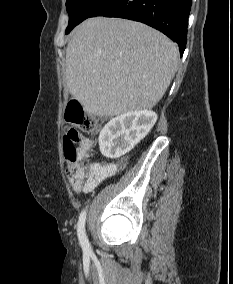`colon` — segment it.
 <instances>
[{
  "label": "colon",
  "mask_w": 233,
  "mask_h": 284,
  "mask_svg": "<svg viewBox=\"0 0 233 284\" xmlns=\"http://www.w3.org/2000/svg\"><path fill=\"white\" fill-rule=\"evenodd\" d=\"M65 117L75 126L67 132L63 139L64 156L68 161L67 176L75 191H88L91 189V182L87 171L81 164L82 157L90 149V140L85 134L97 133L100 125L78 100L68 102Z\"/></svg>",
  "instance_id": "1"
}]
</instances>
